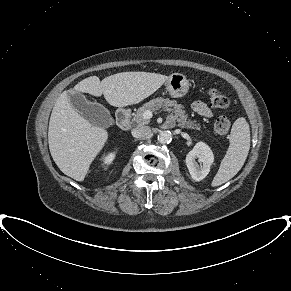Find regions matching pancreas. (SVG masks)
Here are the masks:
<instances>
[{
	"label": "pancreas",
	"mask_w": 291,
	"mask_h": 291,
	"mask_svg": "<svg viewBox=\"0 0 291 291\" xmlns=\"http://www.w3.org/2000/svg\"><path fill=\"white\" fill-rule=\"evenodd\" d=\"M163 109L165 111H172L174 117L178 122V126L181 128H190V129H200L199 124H196L195 121L187 120V115L183 110L182 105L178 104L175 100H170L168 98H156L140 107L137 112L134 114L132 121L138 125H145L149 123L148 119H143V113L146 110L156 111Z\"/></svg>",
	"instance_id": "cf45deb5"
}]
</instances>
